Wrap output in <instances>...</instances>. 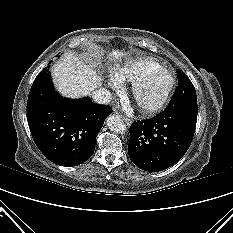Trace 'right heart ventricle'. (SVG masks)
Here are the masks:
<instances>
[{
	"instance_id": "1",
	"label": "right heart ventricle",
	"mask_w": 233,
	"mask_h": 233,
	"mask_svg": "<svg viewBox=\"0 0 233 233\" xmlns=\"http://www.w3.org/2000/svg\"><path fill=\"white\" fill-rule=\"evenodd\" d=\"M160 67L161 64L152 58H140L125 62L118 68L116 74L121 82L134 83L148 71Z\"/></svg>"
}]
</instances>
